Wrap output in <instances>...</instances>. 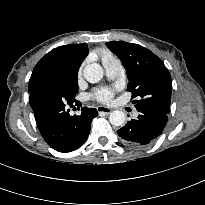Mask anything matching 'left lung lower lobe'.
Returning <instances> with one entry per match:
<instances>
[{
  "mask_svg": "<svg viewBox=\"0 0 205 205\" xmlns=\"http://www.w3.org/2000/svg\"><path fill=\"white\" fill-rule=\"evenodd\" d=\"M137 110L140 112L138 118L128 121L117 131V134L129 145L146 146L163 132L168 121V114L147 108Z\"/></svg>",
  "mask_w": 205,
  "mask_h": 205,
  "instance_id": "obj_1",
  "label": "left lung lower lobe"
}]
</instances>
